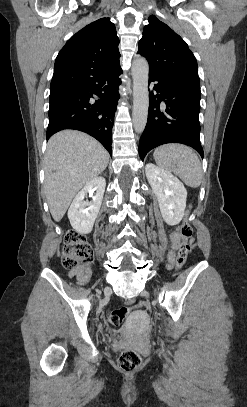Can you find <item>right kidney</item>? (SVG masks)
I'll return each mask as SVG.
<instances>
[{
    "instance_id": "obj_1",
    "label": "right kidney",
    "mask_w": 247,
    "mask_h": 407,
    "mask_svg": "<svg viewBox=\"0 0 247 407\" xmlns=\"http://www.w3.org/2000/svg\"><path fill=\"white\" fill-rule=\"evenodd\" d=\"M105 186V178L97 177L87 183L75 196L68 210V218L77 232L88 234L92 231L102 204ZM94 191L96 193L92 196V201H85L87 194H93Z\"/></svg>"
}]
</instances>
